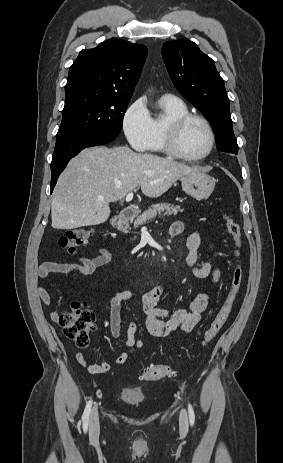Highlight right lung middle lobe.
Segmentation results:
<instances>
[{"instance_id": "dd1d6c3e", "label": "right lung middle lobe", "mask_w": 283, "mask_h": 463, "mask_svg": "<svg viewBox=\"0 0 283 463\" xmlns=\"http://www.w3.org/2000/svg\"><path fill=\"white\" fill-rule=\"evenodd\" d=\"M130 98L80 91L65 98L56 141L82 134L118 136Z\"/></svg>"}]
</instances>
